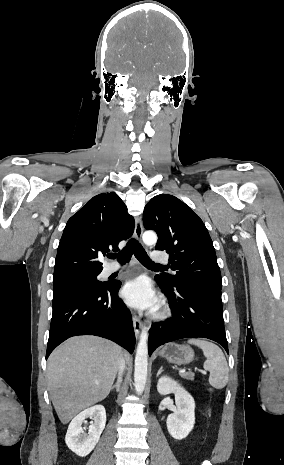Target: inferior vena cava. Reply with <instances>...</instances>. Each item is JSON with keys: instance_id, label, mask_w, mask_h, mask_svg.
<instances>
[{"instance_id": "obj_1", "label": "inferior vena cava", "mask_w": 284, "mask_h": 465, "mask_svg": "<svg viewBox=\"0 0 284 465\" xmlns=\"http://www.w3.org/2000/svg\"><path fill=\"white\" fill-rule=\"evenodd\" d=\"M124 369H125V361H124V359H120V365H119L120 373H119V375H122Z\"/></svg>"}]
</instances>
